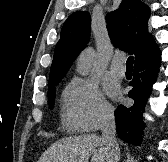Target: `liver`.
<instances>
[{
    "instance_id": "obj_1",
    "label": "liver",
    "mask_w": 168,
    "mask_h": 162,
    "mask_svg": "<svg viewBox=\"0 0 168 162\" xmlns=\"http://www.w3.org/2000/svg\"><path fill=\"white\" fill-rule=\"evenodd\" d=\"M110 162L102 137L96 134L68 137L53 143L38 162Z\"/></svg>"
}]
</instances>
